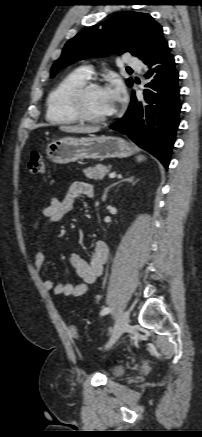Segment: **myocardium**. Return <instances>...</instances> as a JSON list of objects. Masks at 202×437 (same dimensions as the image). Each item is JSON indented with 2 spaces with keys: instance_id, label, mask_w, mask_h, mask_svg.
<instances>
[{
  "instance_id": "obj_1",
  "label": "myocardium",
  "mask_w": 202,
  "mask_h": 437,
  "mask_svg": "<svg viewBox=\"0 0 202 437\" xmlns=\"http://www.w3.org/2000/svg\"><path fill=\"white\" fill-rule=\"evenodd\" d=\"M97 88L104 87L97 81L87 80L75 87L70 93L68 99L69 108L79 121L92 124H102L109 122L117 115V108H115L111 114L104 117H94L86 111L85 97L90 90Z\"/></svg>"
}]
</instances>
